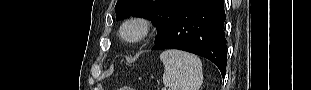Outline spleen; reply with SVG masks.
I'll return each mask as SVG.
<instances>
[{"label":"spleen","instance_id":"spleen-1","mask_svg":"<svg viewBox=\"0 0 311 90\" xmlns=\"http://www.w3.org/2000/svg\"><path fill=\"white\" fill-rule=\"evenodd\" d=\"M164 64L163 84L171 90H199L203 83L201 60L194 54L180 50H166L160 54Z\"/></svg>","mask_w":311,"mask_h":90}]
</instances>
